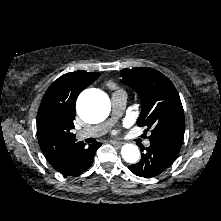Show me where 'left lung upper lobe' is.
I'll return each mask as SVG.
<instances>
[{
  "label": "left lung upper lobe",
  "instance_id": "obj_1",
  "mask_svg": "<svg viewBox=\"0 0 221 221\" xmlns=\"http://www.w3.org/2000/svg\"><path fill=\"white\" fill-rule=\"evenodd\" d=\"M121 82L140 96L142 111L139 126L150 130L149 140L164 139L182 144L185 118L179 94L172 82L152 68L123 69Z\"/></svg>",
  "mask_w": 221,
  "mask_h": 221
}]
</instances>
